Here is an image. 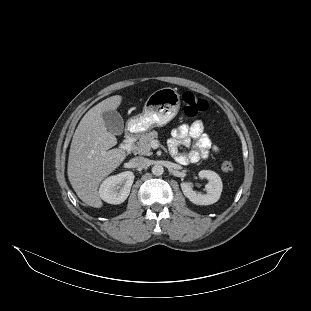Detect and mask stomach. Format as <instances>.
Returning <instances> with one entry per match:
<instances>
[{
    "mask_svg": "<svg viewBox=\"0 0 311 311\" xmlns=\"http://www.w3.org/2000/svg\"><path fill=\"white\" fill-rule=\"evenodd\" d=\"M180 94L171 87L153 92L146 100L143 111L130 117L126 122V132L143 135L154 127H162L173 120L180 110Z\"/></svg>",
    "mask_w": 311,
    "mask_h": 311,
    "instance_id": "stomach-1",
    "label": "stomach"
}]
</instances>
